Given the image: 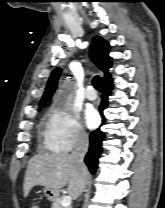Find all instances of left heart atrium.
Returning a JSON list of instances; mask_svg holds the SVG:
<instances>
[{
	"instance_id": "39dd6f15",
	"label": "left heart atrium",
	"mask_w": 165,
	"mask_h": 208,
	"mask_svg": "<svg viewBox=\"0 0 165 208\" xmlns=\"http://www.w3.org/2000/svg\"><path fill=\"white\" fill-rule=\"evenodd\" d=\"M85 122L89 128H94L99 122V115L95 109H87L85 111Z\"/></svg>"
}]
</instances>
